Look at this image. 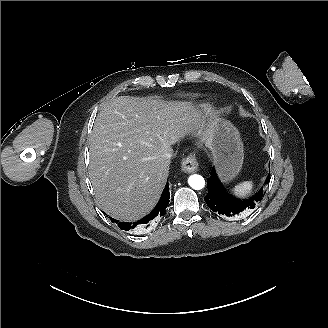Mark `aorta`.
<instances>
[{
    "instance_id": "aorta-1",
    "label": "aorta",
    "mask_w": 328,
    "mask_h": 328,
    "mask_svg": "<svg viewBox=\"0 0 328 328\" xmlns=\"http://www.w3.org/2000/svg\"><path fill=\"white\" fill-rule=\"evenodd\" d=\"M188 184L195 190H201L205 187V180L201 175L193 174L188 178Z\"/></svg>"
}]
</instances>
